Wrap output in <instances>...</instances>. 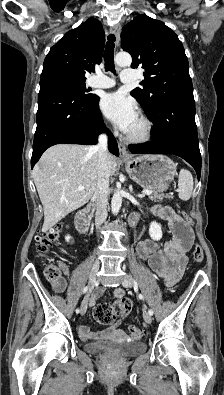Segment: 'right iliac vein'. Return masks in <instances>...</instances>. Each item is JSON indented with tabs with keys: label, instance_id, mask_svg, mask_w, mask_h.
Wrapping results in <instances>:
<instances>
[{
	"label": "right iliac vein",
	"instance_id": "1",
	"mask_svg": "<svg viewBox=\"0 0 224 395\" xmlns=\"http://www.w3.org/2000/svg\"><path fill=\"white\" fill-rule=\"evenodd\" d=\"M99 268H100V262H99V260H96L93 263V266L91 268V272L89 274V285H90V287H93V285L95 283L96 276H97V273L99 271ZM87 304H88V295L85 297V299H84V301L82 303V306H81V314L82 315H84L85 312H86Z\"/></svg>",
	"mask_w": 224,
	"mask_h": 395
}]
</instances>
